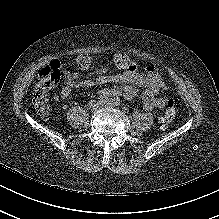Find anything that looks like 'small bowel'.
Masks as SVG:
<instances>
[{"instance_id": "1", "label": "small bowel", "mask_w": 219, "mask_h": 219, "mask_svg": "<svg viewBox=\"0 0 219 219\" xmlns=\"http://www.w3.org/2000/svg\"><path fill=\"white\" fill-rule=\"evenodd\" d=\"M91 62L90 57L81 56L76 60V66L80 70H85ZM114 63L120 72L100 71L89 73L86 78H82L79 72H68L66 82L60 93L55 97V101L66 99L73 89L92 87L95 84L109 85L104 87L99 93L102 96H120L127 101H134L138 96L135 87L142 89L139 97L144 110L161 109L166 105V101L157 95L166 85L154 67L148 66L145 73L139 72V64L124 53H117L114 56Z\"/></svg>"}]
</instances>
